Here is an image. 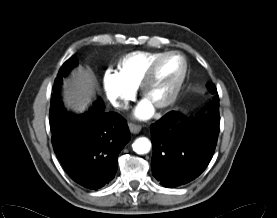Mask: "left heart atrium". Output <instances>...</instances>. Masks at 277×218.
I'll return each instance as SVG.
<instances>
[{
    "instance_id": "39dd6f15",
    "label": "left heart atrium",
    "mask_w": 277,
    "mask_h": 218,
    "mask_svg": "<svg viewBox=\"0 0 277 218\" xmlns=\"http://www.w3.org/2000/svg\"><path fill=\"white\" fill-rule=\"evenodd\" d=\"M153 111V104L144 99L135 109V116L139 119H147L153 114Z\"/></svg>"
}]
</instances>
